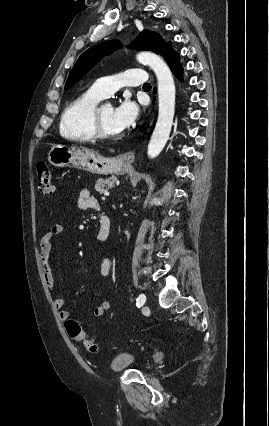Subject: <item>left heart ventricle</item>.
Wrapping results in <instances>:
<instances>
[{"label": "left heart ventricle", "instance_id": "1", "mask_svg": "<svg viewBox=\"0 0 269 426\" xmlns=\"http://www.w3.org/2000/svg\"><path fill=\"white\" fill-rule=\"evenodd\" d=\"M113 107L109 105H104L100 110V120L104 131L111 136H116L120 134L113 121Z\"/></svg>", "mask_w": 269, "mask_h": 426}]
</instances>
